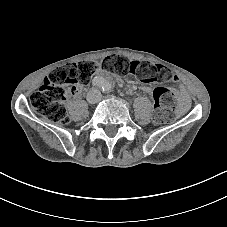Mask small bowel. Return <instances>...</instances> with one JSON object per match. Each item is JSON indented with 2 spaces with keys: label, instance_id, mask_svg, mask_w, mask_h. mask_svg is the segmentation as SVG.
Masks as SVG:
<instances>
[{
  "label": "small bowel",
  "instance_id": "1",
  "mask_svg": "<svg viewBox=\"0 0 227 227\" xmlns=\"http://www.w3.org/2000/svg\"><path fill=\"white\" fill-rule=\"evenodd\" d=\"M104 71L101 70V69H98L97 70V73L98 74H102ZM178 78L177 76H174V81H177ZM143 90L149 94H152V90L149 88V87H143ZM80 92V88H78L74 93H79ZM180 104H181V109L182 107H186L187 105V96H186V93L185 92H182L181 95H180Z\"/></svg>",
  "mask_w": 227,
  "mask_h": 227
}]
</instances>
